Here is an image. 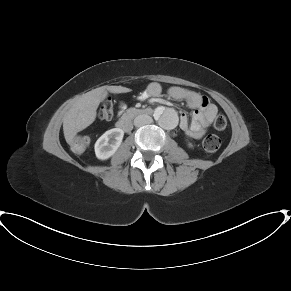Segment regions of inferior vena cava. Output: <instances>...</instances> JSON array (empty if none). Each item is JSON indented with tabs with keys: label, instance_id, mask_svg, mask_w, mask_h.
<instances>
[{
	"label": "inferior vena cava",
	"instance_id": "inferior-vena-cava-1",
	"mask_svg": "<svg viewBox=\"0 0 291 291\" xmlns=\"http://www.w3.org/2000/svg\"><path fill=\"white\" fill-rule=\"evenodd\" d=\"M152 118L147 115V114H141V115H138L135 119H134V125L136 127H140V126H143V125H146V124H150L152 123Z\"/></svg>",
	"mask_w": 291,
	"mask_h": 291
}]
</instances>
